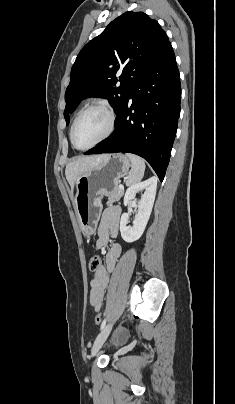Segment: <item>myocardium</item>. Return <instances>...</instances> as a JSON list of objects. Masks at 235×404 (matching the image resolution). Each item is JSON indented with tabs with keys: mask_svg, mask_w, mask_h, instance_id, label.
I'll use <instances>...</instances> for the list:
<instances>
[{
	"mask_svg": "<svg viewBox=\"0 0 235 404\" xmlns=\"http://www.w3.org/2000/svg\"><path fill=\"white\" fill-rule=\"evenodd\" d=\"M93 109H101L107 113L108 118H109L108 129L105 132V134L92 145H90L88 147H84V148L78 147L74 141V130H75L76 124L83 114H85L86 112L93 110ZM115 123H116V113L109 104L104 103V102L92 103V104L86 106L85 108H83L76 115V117L72 123L71 129H70V141L77 150H81V151L89 150V149L95 147L96 145L100 144L101 142L105 141L107 138H109L111 136V134L113 133L114 128H115Z\"/></svg>",
	"mask_w": 235,
	"mask_h": 404,
	"instance_id": "myocardium-1",
	"label": "myocardium"
}]
</instances>
